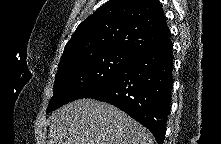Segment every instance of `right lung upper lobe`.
Here are the masks:
<instances>
[{"mask_svg": "<svg viewBox=\"0 0 221 144\" xmlns=\"http://www.w3.org/2000/svg\"><path fill=\"white\" fill-rule=\"evenodd\" d=\"M169 36L157 0H109L79 24L59 66L110 50L138 55Z\"/></svg>", "mask_w": 221, "mask_h": 144, "instance_id": "right-lung-upper-lobe-1", "label": "right lung upper lobe"}]
</instances>
